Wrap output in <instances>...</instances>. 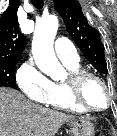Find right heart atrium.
<instances>
[{"instance_id":"1","label":"right heart atrium","mask_w":117,"mask_h":136,"mask_svg":"<svg viewBox=\"0 0 117 136\" xmlns=\"http://www.w3.org/2000/svg\"><path fill=\"white\" fill-rule=\"evenodd\" d=\"M16 82L27 99L41 104L47 103L52 82L32 60L25 61L19 67Z\"/></svg>"}]
</instances>
